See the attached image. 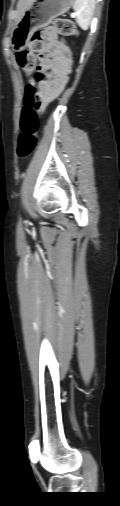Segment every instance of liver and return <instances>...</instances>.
<instances>
[{"mask_svg":"<svg viewBox=\"0 0 120 506\" xmlns=\"http://www.w3.org/2000/svg\"><path fill=\"white\" fill-rule=\"evenodd\" d=\"M34 2V0H19L17 5L18 17L17 22L21 20L27 8Z\"/></svg>","mask_w":120,"mask_h":506,"instance_id":"1","label":"liver"}]
</instances>
